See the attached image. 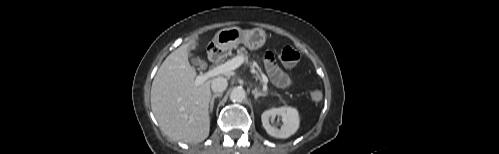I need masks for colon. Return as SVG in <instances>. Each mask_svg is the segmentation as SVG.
<instances>
[{
	"label": "colon",
	"mask_w": 499,
	"mask_h": 154,
	"mask_svg": "<svg viewBox=\"0 0 499 154\" xmlns=\"http://www.w3.org/2000/svg\"><path fill=\"white\" fill-rule=\"evenodd\" d=\"M280 59L285 66L292 67L300 60V54L292 47H285L280 54ZM310 97L314 102H319L322 99V92L319 89H312Z\"/></svg>",
	"instance_id": "5ec220e1"
}]
</instances>
